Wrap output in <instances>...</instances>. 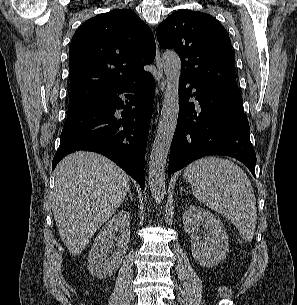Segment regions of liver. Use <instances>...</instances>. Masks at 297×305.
I'll use <instances>...</instances> for the list:
<instances>
[{"label":"liver","instance_id":"6515ba94","mask_svg":"<svg viewBox=\"0 0 297 305\" xmlns=\"http://www.w3.org/2000/svg\"><path fill=\"white\" fill-rule=\"evenodd\" d=\"M129 187V176L102 155L79 151L58 163L52 210L60 238L72 255L87 246Z\"/></svg>","mask_w":297,"mask_h":305}]
</instances>
